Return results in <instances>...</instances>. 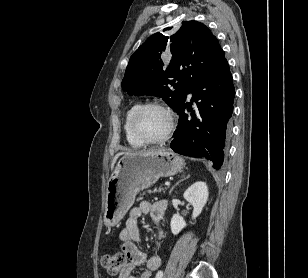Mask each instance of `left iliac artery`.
I'll return each instance as SVG.
<instances>
[{
    "instance_id": "44dca946",
    "label": "left iliac artery",
    "mask_w": 308,
    "mask_h": 278,
    "mask_svg": "<svg viewBox=\"0 0 308 278\" xmlns=\"http://www.w3.org/2000/svg\"><path fill=\"white\" fill-rule=\"evenodd\" d=\"M162 276H163V272L159 271L156 275V278H162Z\"/></svg>"
}]
</instances>
